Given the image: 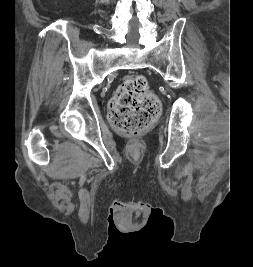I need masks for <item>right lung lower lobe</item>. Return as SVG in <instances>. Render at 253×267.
Returning <instances> with one entry per match:
<instances>
[{
  "instance_id": "98d812e1",
  "label": "right lung lower lobe",
  "mask_w": 253,
  "mask_h": 267,
  "mask_svg": "<svg viewBox=\"0 0 253 267\" xmlns=\"http://www.w3.org/2000/svg\"><path fill=\"white\" fill-rule=\"evenodd\" d=\"M151 215L152 216H154V215H156V216H158V215H162V211L161 210H152V213H151Z\"/></svg>"
}]
</instances>
